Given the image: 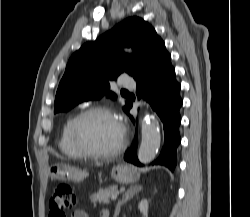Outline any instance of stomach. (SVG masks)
I'll list each match as a JSON object with an SVG mask.
<instances>
[{"label": "stomach", "instance_id": "0dacf381", "mask_svg": "<svg viewBox=\"0 0 250 217\" xmlns=\"http://www.w3.org/2000/svg\"><path fill=\"white\" fill-rule=\"evenodd\" d=\"M51 175L57 180L79 182L86 178L88 174L76 167L57 163L51 167ZM111 176L115 181L123 184L133 183L139 179L137 170L132 166L124 164L114 166Z\"/></svg>", "mask_w": 250, "mask_h": 217}]
</instances>
